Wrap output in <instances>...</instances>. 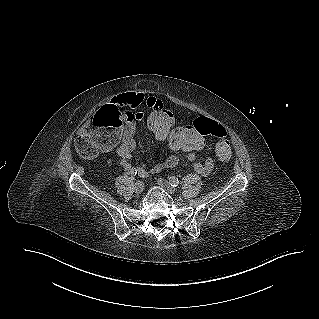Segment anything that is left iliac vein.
Wrapping results in <instances>:
<instances>
[{
	"mask_svg": "<svg viewBox=\"0 0 319 319\" xmlns=\"http://www.w3.org/2000/svg\"><path fill=\"white\" fill-rule=\"evenodd\" d=\"M158 184L162 188H164L168 193L175 194V189L171 186V184L167 180H165L163 178H159L158 179Z\"/></svg>",
	"mask_w": 319,
	"mask_h": 319,
	"instance_id": "1",
	"label": "left iliac vein"
}]
</instances>
